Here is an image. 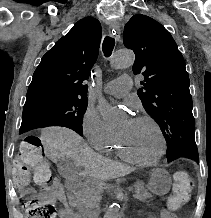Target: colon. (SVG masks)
Instances as JSON below:
<instances>
[{"mask_svg":"<svg viewBox=\"0 0 211 218\" xmlns=\"http://www.w3.org/2000/svg\"><path fill=\"white\" fill-rule=\"evenodd\" d=\"M13 179L19 189L28 186L33 180L42 191L52 182L50 164L42 140L37 136H28L23 141L14 158ZM173 196L170 207L177 209L186 203L191 195L193 181L187 171L174 174ZM27 218H56L53 204L40 199H26Z\"/></svg>","mask_w":211,"mask_h":218,"instance_id":"1","label":"colon"}]
</instances>
